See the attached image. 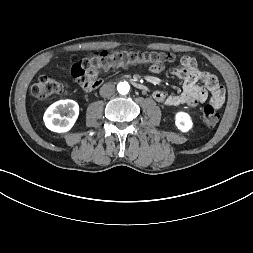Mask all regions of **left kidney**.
<instances>
[{
  "mask_svg": "<svg viewBox=\"0 0 253 253\" xmlns=\"http://www.w3.org/2000/svg\"><path fill=\"white\" fill-rule=\"evenodd\" d=\"M175 123L182 132L189 131L193 126L192 119L186 112H178L175 116Z\"/></svg>",
  "mask_w": 253,
  "mask_h": 253,
  "instance_id": "1",
  "label": "left kidney"
}]
</instances>
